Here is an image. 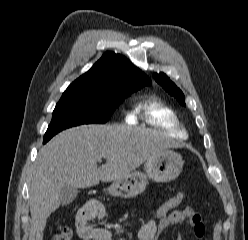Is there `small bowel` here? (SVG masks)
Listing matches in <instances>:
<instances>
[{
	"label": "small bowel",
	"mask_w": 248,
	"mask_h": 240,
	"mask_svg": "<svg viewBox=\"0 0 248 240\" xmlns=\"http://www.w3.org/2000/svg\"><path fill=\"white\" fill-rule=\"evenodd\" d=\"M104 216L105 207L100 201H88L76 215L75 225L78 237L82 240H115V236L110 230L92 225L93 222L101 220ZM183 223H187L192 228L197 239L206 240V228L202 216L191 206L175 209L161 218L147 215L137 231L136 238L137 240H158L160 234L169 226ZM176 240H182L181 236H177Z\"/></svg>",
	"instance_id": "obj_1"
}]
</instances>
